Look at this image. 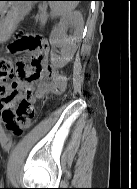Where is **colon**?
<instances>
[{"instance_id": "5ec220e1", "label": "colon", "mask_w": 137, "mask_h": 189, "mask_svg": "<svg viewBox=\"0 0 137 189\" xmlns=\"http://www.w3.org/2000/svg\"><path fill=\"white\" fill-rule=\"evenodd\" d=\"M9 51L13 54L21 52H30L32 54L29 64L19 61L17 63L18 72L26 80H35L41 75L50 78L52 75V68L47 67L45 70L41 67V61L47 51V44L43 37L33 34H22L18 36L10 45ZM13 72L12 62L4 57H0V95L6 91ZM31 114H35V109L27 100L22 101L17 109V117L21 118Z\"/></svg>"}]
</instances>
